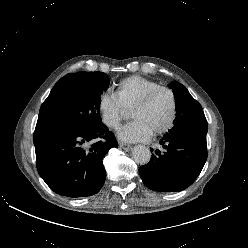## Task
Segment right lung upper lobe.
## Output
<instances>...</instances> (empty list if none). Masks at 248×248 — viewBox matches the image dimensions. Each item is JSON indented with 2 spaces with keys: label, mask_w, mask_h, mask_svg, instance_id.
Segmentation results:
<instances>
[{
  "label": "right lung upper lobe",
  "mask_w": 248,
  "mask_h": 248,
  "mask_svg": "<svg viewBox=\"0 0 248 248\" xmlns=\"http://www.w3.org/2000/svg\"><path fill=\"white\" fill-rule=\"evenodd\" d=\"M75 73H71V74H67L66 76H64L63 78H61L56 84L55 87L58 86L59 84H61L63 81H65L66 79L70 78L71 76H73Z\"/></svg>",
  "instance_id": "right-lung-upper-lobe-1"
}]
</instances>
